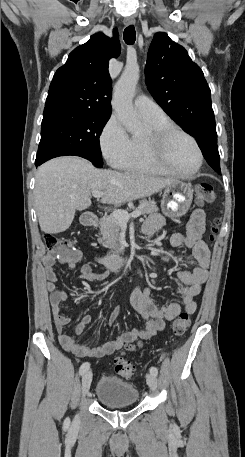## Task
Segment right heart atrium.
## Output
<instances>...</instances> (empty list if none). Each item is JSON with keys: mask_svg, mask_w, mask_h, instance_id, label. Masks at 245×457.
I'll return each instance as SVG.
<instances>
[{"mask_svg": "<svg viewBox=\"0 0 245 457\" xmlns=\"http://www.w3.org/2000/svg\"><path fill=\"white\" fill-rule=\"evenodd\" d=\"M99 140L104 156L113 163H117L125 157L131 145V138L122 122L115 115L110 116L107 120Z\"/></svg>", "mask_w": 245, "mask_h": 457, "instance_id": "right-heart-atrium-1", "label": "right heart atrium"}]
</instances>
